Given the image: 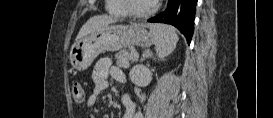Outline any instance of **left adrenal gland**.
<instances>
[{"label":"left adrenal gland","instance_id":"1","mask_svg":"<svg viewBox=\"0 0 273 118\" xmlns=\"http://www.w3.org/2000/svg\"><path fill=\"white\" fill-rule=\"evenodd\" d=\"M151 57H153V53L149 49L144 50L142 53L140 62H143L145 59L151 58Z\"/></svg>","mask_w":273,"mask_h":118}]
</instances>
